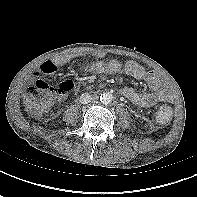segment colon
<instances>
[{"label": "colon", "instance_id": "5ec220e1", "mask_svg": "<svg viewBox=\"0 0 197 197\" xmlns=\"http://www.w3.org/2000/svg\"><path fill=\"white\" fill-rule=\"evenodd\" d=\"M73 87L74 84L71 80H65L57 86H53L42 79L37 80L26 94L24 105L31 114L41 115L49 106V93L54 92L59 95H66L73 89ZM172 113L170 106L163 105L157 110V120L163 124L169 123L172 119Z\"/></svg>", "mask_w": 197, "mask_h": 197}]
</instances>
